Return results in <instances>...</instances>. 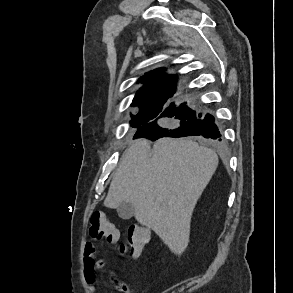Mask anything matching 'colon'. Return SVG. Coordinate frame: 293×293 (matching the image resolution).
Returning a JSON list of instances; mask_svg holds the SVG:
<instances>
[{"label": "colon", "instance_id": "obj_1", "mask_svg": "<svg viewBox=\"0 0 293 293\" xmlns=\"http://www.w3.org/2000/svg\"><path fill=\"white\" fill-rule=\"evenodd\" d=\"M90 236L96 240L106 239L109 242L118 240V230L102 211H94L90 216ZM151 237L150 230L140 224H132L127 230L129 248L122 245L120 251H129L132 257H137Z\"/></svg>", "mask_w": 293, "mask_h": 293}]
</instances>
